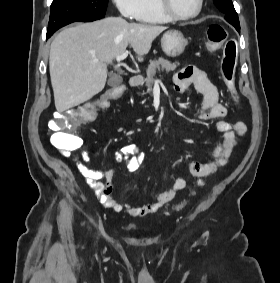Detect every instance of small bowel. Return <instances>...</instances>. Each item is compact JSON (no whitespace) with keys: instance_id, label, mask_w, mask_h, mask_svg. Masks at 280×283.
Wrapping results in <instances>:
<instances>
[{"instance_id":"c3829d8e","label":"small bowel","mask_w":280,"mask_h":283,"mask_svg":"<svg viewBox=\"0 0 280 283\" xmlns=\"http://www.w3.org/2000/svg\"><path fill=\"white\" fill-rule=\"evenodd\" d=\"M190 85H193L203 96L197 116L198 120L202 122L216 121L217 129L223 134V141L212 150L209 162L201 163L192 160L188 164L189 173L198 178L196 186L200 187L204 184V178L216 172L218 167L227 162L240 138L247 133V126L242 121L229 123L222 120L227 114V109L219 102L217 87L202 70L190 66L175 75V90L180 92ZM78 149L80 155L72 156L78 171L84 177L88 186L93 189L100 203L115 212H124L132 217H142L154 213L173 200L176 194L186 187L187 181L184 178H177L170 188L158 194L152 203L136 206L126 202H119L112 196L114 171L112 169L100 171L89 168V152L82 147V144ZM145 159V154L139 151L137 145L131 143L123 145L115 153V160L125 162L127 171L130 173L137 172ZM102 179L106 182H100Z\"/></svg>"}]
</instances>
